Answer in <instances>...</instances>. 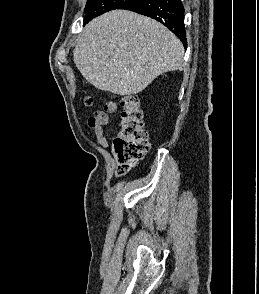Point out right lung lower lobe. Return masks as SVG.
Segmentation results:
<instances>
[{"mask_svg":"<svg viewBox=\"0 0 259 294\" xmlns=\"http://www.w3.org/2000/svg\"><path fill=\"white\" fill-rule=\"evenodd\" d=\"M120 9L151 17L168 27L187 47L184 7L181 0H133Z\"/></svg>","mask_w":259,"mask_h":294,"instance_id":"right-lung-lower-lobe-1","label":"right lung lower lobe"}]
</instances>
